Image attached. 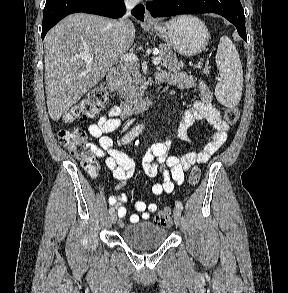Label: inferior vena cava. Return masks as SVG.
<instances>
[{
	"instance_id": "1",
	"label": "inferior vena cava",
	"mask_w": 288,
	"mask_h": 293,
	"mask_svg": "<svg viewBox=\"0 0 288 293\" xmlns=\"http://www.w3.org/2000/svg\"><path fill=\"white\" fill-rule=\"evenodd\" d=\"M139 1L140 0H125V4H126L127 9L133 8L134 6H136L139 3ZM126 21L127 20L125 19V17H123V18L118 19L115 22V26L119 32H122L125 29Z\"/></svg>"
}]
</instances>
